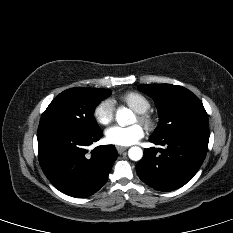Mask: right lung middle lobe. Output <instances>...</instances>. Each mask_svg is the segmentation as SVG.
I'll return each mask as SVG.
<instances>
[{"instance_id":"1","label":"right lung middle lobe","mask_w":233,"mask_h":233,"mask_svg":"<svg viewBox=\"0 0 233 233\" xmlns=\"http://www.w3.org/2000/svg\"><path fill=\"white\" fill-rule=\"evenodd\" d=\"M110 90L99 88H71L60 93L43 112L38 130L58 127L88 133L101 131L94 116V108L109 97Z\"/></svg>"}]
</instances>
